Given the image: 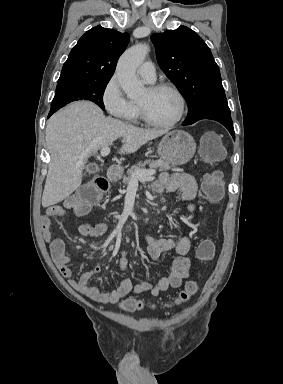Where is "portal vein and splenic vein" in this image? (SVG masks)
Segmentation results:
<instances>
[{
    "mask_svg": "<svg viewBox=\"0 0 283 384\" xmlns=\"http://www.w3.org/2000/svg\"><path fill=\"white\" fill-rule=\"evenodd\" d=\"M108 154H110V148H102L101 156H108ZM154 174H156V170H139V172H136L135 176H133L131 182H138L140 178H154Z\"/></svg>",
    "mask_w": 283,
    "mask_h": 384,
    "instance_id": "1",
    "label": "portal vein and splenic vein"
}]
</instances>
